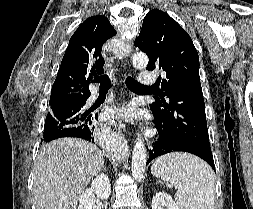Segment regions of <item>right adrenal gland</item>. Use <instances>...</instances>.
Masks as SVG:
<instances>
[{
	"label": "right adrenal gland",
	"instance_id": "obj_1",
	"mask_svg": "<svg viewBox=\"0 0 253 209\" xmlns=\"http://www.w3.org/2000/svg\"><path fill=\"white\" fill-rule=\"evenodd\" d=\"M102 170H103V171H107V168H106V167H103Z\"/></svg>",
	"mask_w": 253,
	"mask_h": 209
}]
</instances>
